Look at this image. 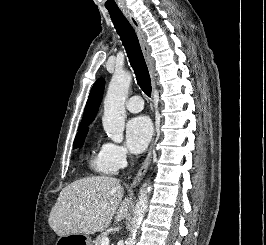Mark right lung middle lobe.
<instances>
[{"instance_id":"1","label":"right lung middle lobe","mask_w":266,"mask_h":245,"mask_svg":"<svg viewBox=\"0 0 266 245\" xmlns=\"http://www.w3.org/2000/svg\"><path fill=\"white\" fill-rule=\"evenodd\" d=\"M88 126H89V124L79 126L78 133H77L75 140H74L73 148H81L82 147V145L85 141V137H86L87 132H88V128H87Z\"/></svg>"}]
</instances>
